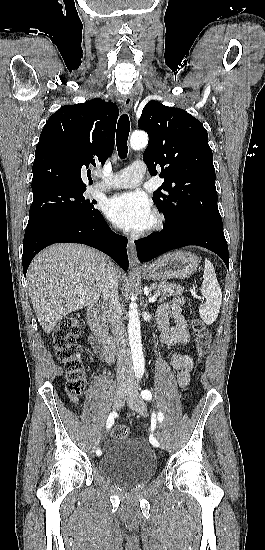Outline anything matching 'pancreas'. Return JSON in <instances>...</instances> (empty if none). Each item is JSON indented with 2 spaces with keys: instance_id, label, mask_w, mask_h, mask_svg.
Here are the masks:
<instances>
[{
  "instance_id": "pancreas-1",
  "label": "pancreas",
  "mask_w": 265,
  "mask_h": 550,
  "mask_svg": "<svg viewBox=\"0 0 265 550\" xmlns=\"http://www.w3.org/2000/svg\"><path fill=\"white\" fill-rule=\"evenodd\" d=\"M150 290L154 291V294L159 297V302L164 301L167 297L182 295L183 293V288L173 283H154L150 285Z\"/></svg>"
}]
</instances>
